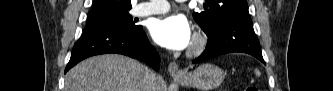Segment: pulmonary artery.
Masks as SVG:
<instances>
[{"instance_id": "pulmonary-artery-1", "label": "pulmonary artery", "mask_w": 333, "mask_h": 91, "mask_svg": "<svg viewBox=\"0 0 333 91\" xmlns=\"http://www.w3.org/2000/svg\"><path fill=\"white\" fill-rule=\"evenodd\" d=\"M170 9L166 0H151L143 2L134 8V12L138 16H149L165 13Z\"/></svg>"}]
</instances>
